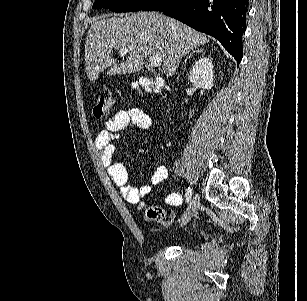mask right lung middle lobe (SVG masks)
Returning a JSON list of instances; mask_svg holds the SVG:
<instances>
[{
    "mask_svg": "<svg viewBox=\"0 0 307 301\" xmlns=\"http://www.w3.org/2000/svg\"><path fill=\"white\" fill-rule=\"evenodd\" d=\"M156 0H95L93 9L108 8L114 12H136L147 8Z\"/></svg>",
    "mask_w": 307,
    "mask_h": 301,
    "instance_id": "right-lung-middle-lobe-1",
    "label": "right lung middle lobe"
}]
</instances>
